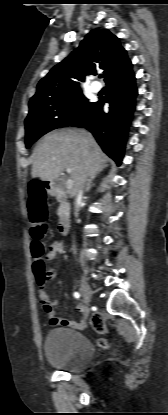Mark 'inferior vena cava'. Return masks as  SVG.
<instances>
[{"label": "inferior vena cava", "instance_id": "obj_1", "mask_svg": "<svg viewBox=\"0 0 168 415\" xmlns=\"http://www.w3.org/2000/svg\"><path fill=\"white\" fill-rule=\"evenodd\" d=\"M84 183V182H83ZM83 183L82 185L79 187V189L77 190L76 194H75V203H74V215L75 217H78V212H79V206L78 203L81 201L82 196H83ZM73 252L74 254L76 253V248L75 245H73Z\"/></svg>", "mask_w": 168, "mask_h": 415}]
</instances>
